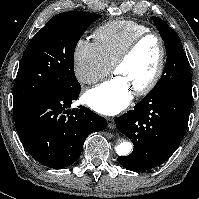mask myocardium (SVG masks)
<instances>
[{
  "instance_id": "1",
  "label": "myocardium",
  "mask_w": 199,
  "mask_h": 199,
  "mask_svg": "<svg viewBox=\"0 0 199 199\" xmlns=\"http://www.w3.org/2000/svg\"><path fill=\"white\" fill-rule=\"evenodd\" d=\"M149 37H154L158 41L159 49H160L159 61H158L157 68L153 76L151 77V79L144 86L133 91V94L135 96H145L149 94L157 86V84L159 83L163 75V72L165 69L167 51H166V45L162 36L159 33L155 31H151V30L136 36L120 53V55L116 58V60L114 61L112 65V73L115 74L116 70L119 67H121L131 57V55L136 50L138 45Z\"/></svg>"
}]
</instances>
